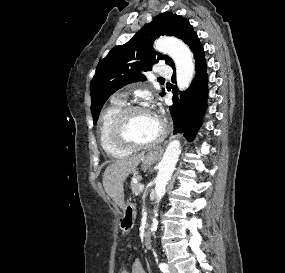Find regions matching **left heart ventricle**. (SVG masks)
<instances>
[{
    "mask_svg": "<svg viewBox=\"0 0 285 273\" xmlns=\"http://www.w3.org/2000/svg\"><path fill=\"white\" fill-rule=\"evenodd\" d=\"M127 137L136 143L155 139L160 132V124L151 112L139 111L129 116L125 129Z\"/></svg>",
    "mask_w": 285,
    "mask_h": 273,
    "instance_id": "obj_1",
    "label": "left heart ventricle"
}]
</instances>
